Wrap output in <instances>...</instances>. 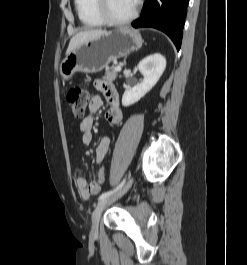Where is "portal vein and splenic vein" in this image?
<instances>
[{"label":"portal vein and splenic vein","mask_w":247,"mask_h":265,"mask_svg":"<svg viewBox=\"0 0 247 265\" xmlns=\"http://www.w3.org/2000/svg\"><path fill=\"white\" fill-rule=\"evenodd\" d=\"M115 69L116 71H121V66H117Z\"/></svg>","instance_id":"18ae733b"}]
</instances>
